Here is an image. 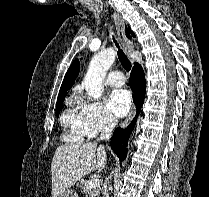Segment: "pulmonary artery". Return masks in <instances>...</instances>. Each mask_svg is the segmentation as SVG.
Wrapping results in <instances>:
<instances>
[{"instance_id": "obj_1", "label": "pulmonary artery", "mask_w": 209, "mask_h": 197, "mask_svg": "<svg viewBox=\"0 0 209 197\" xmlns=\"http://www.w3.org/2000/svg\"><path fill=\"white\" fill-rule=\"evenodd\" d=\"M106 84L112 87H118L125 84V77L120 71L111 72L106 78Z\"/></svg>"}]
</instances>
